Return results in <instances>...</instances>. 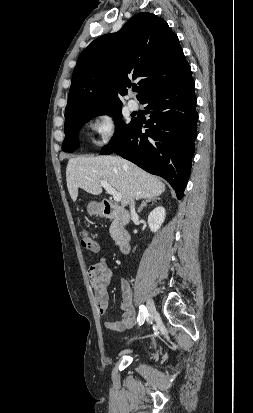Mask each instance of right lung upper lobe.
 <instances>
[{"mask_svg": "<svg viewBox=\"0 0 253 413\" xmlns=\"http://www.w3.org/2000/svg\"><path fill=\"white\" fill-rule=\"evenodd\" d=\"M189 69L178 37L168 24L154 14L139 13L119 32L97 38L80 54L65 122L86 111L122 106L118 94H127V87L137 78L141 101L177 82Z\"/></svg>", "mask_w": 253, "mask_h": 413, "instance_id": "1", "label": "right lung upper lobe"}]
</instances>
